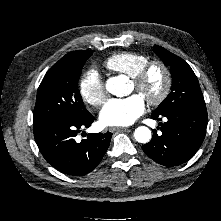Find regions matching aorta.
I'll use <instances>...</instances> for the list:
<instances>
[{"label":"aorta","mask_w":221,"mask_h":221,"mask_svg":"<svg viewBox=\"0 0 221 221\" xmlns=\"http://www.w3.org/2000/svg\"><path fill=\"white\" fill-rule=\"evenodd\" d=\"M106 89L117 97L127 94V79L124 76H115L107 80ZM134 138L139 143H147L151 139V130L148 127L140 126L134 132Z\"/></svg>","instance_id":"762f6f07"}]
</instances>
